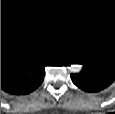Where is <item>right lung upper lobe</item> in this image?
Returning a JSON list of instances; mask_svg holds the SVG:
<instances>
[{"instance_id":"right-lung-upper-lobe-1","label":"right lung upper lobe","mask_w":115,"mask_h":114,"mask_svg":"<svg viewBox=\"0 0 115 114\" xmlns=\"http://www.w3.org/2000/svg\"><path fill=\"white\" fill-rule=\"evenodd\" d=\"M29 59V56L16 44L1 40V61H23Z\"/></svg>"}]
</instances>
